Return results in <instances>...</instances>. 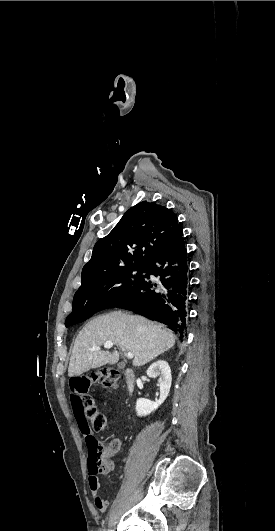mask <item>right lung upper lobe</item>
I'll return each instance as SVG.
<instances>
[{
  "mask_svg": "<svg viewBox=\"0 0 275 531\" xmlns=\"http://www.w3.org/2000/svg\"><path fill=\"white\" fill-rule=\"evenodd\" d=\"M180 223L168 208L140 202L130 208L114 229L97 241L82 270V285L105 273L147 266Z\"/></svg>",
  "mask_w": 275,
  "mask_h": 531,
  "instance_id": "1",
  "label": "right lung upper lobe"
}]
</instances>
